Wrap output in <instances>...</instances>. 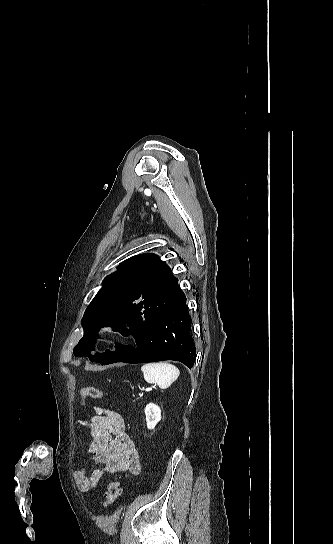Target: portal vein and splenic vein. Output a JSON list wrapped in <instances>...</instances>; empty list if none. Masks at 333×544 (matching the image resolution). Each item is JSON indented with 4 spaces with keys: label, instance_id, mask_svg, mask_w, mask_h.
Masks as SVG:
<instances>
[{
    "label": "portal vein and splenic vein",
    "instance_id": "portal-vein-and-splenic-vein-1",
    "mask_svg": "<svg viewBox=\"0 0 333 544\" xmlns=\"http://www.w3.org/2000/svg\"><path fill=\"white\" fill-rule=\"evenodd\" d=\"M153 388H155V386H151V387L147 388L146 391H150V390H152Z\"/></svg>",
    "mask_w": 333,
    "mask_h": 544
}]
</instances>
